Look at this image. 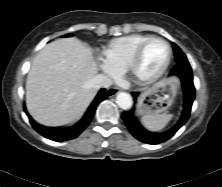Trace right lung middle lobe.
Returning <instances> with one entry per match:
<instances>
[{
	"instance_id": "1",
	"label": "right lung middle lobe",
	"mask_w": 222,
	"mask_h": 187,
	"mask_svg": "<svg viewBox=\"0 0 222 187\" xmlns=\"http://www.w3.org/2000/svg\"><path fill=\"white\" fill-rule=\"evenodd\" d=\"M72 34H67V35H64L63 37H71Z\"/></svg>"
}]
</instances>
